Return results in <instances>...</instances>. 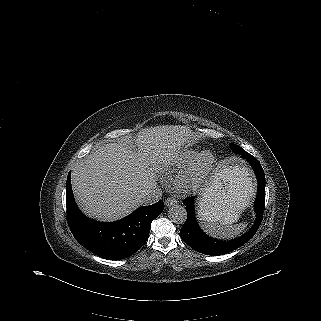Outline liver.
I'll return each instance as SVG.
<instances>
[{"mask_svg": "<svg viewBox=\"0 0 321 321\" xmlns=\"http://www.w3.org/2000/svg\"><path fill=\"white\" fill-rule=\"evenodd\" d=\"M194 139L186 126L165 125L143 129L133 140L97 147L72 171L78 206L100 221L130 214L142 205V195L156 188V173L165 161L161 157Z\"/></svg>", "mask_w": 321, "mask_h": 321, "instance_id": "1", "label": "liver"}]
</instances>
